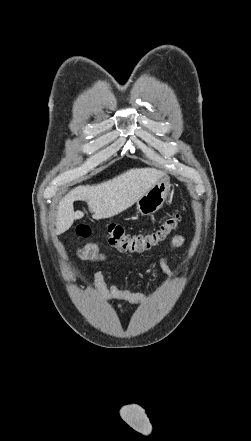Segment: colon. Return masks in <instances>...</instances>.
<instances>
[{"label":"colon","instance_id":"5ec220e1","mask_svg":"<svg viewBox=\"0 0 251 441\" xmlns=\"http://www.w3.org/2000/svg\"><path fill=\"white\" fill-rule=\"evenodd\" d=\"M181 215L166 218L156 229L145 232H129L123 226L111 223L106 226L104 237L108 244L121 252L139 253L149 250L164 242L179 226ZM78 236L86 238L92 235L89 224L82 223L76 227Z\"/></svg>","mask_w":251,"mask_h":441}]
</instances>
